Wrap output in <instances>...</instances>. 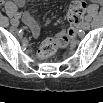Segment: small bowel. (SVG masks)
<instances>
[{
	"instance_id": "small-bowel-1",
	"label": "small bowel",
	"mask_w": 103,
	"mask_h": 103,
	"mask_svg": "<svg viewBox=\"0 0 103 103\" xmlns=\"http://www.w3.org/2000/svg\"><path fill=\"white\" fill-rule=\"evenodd\" d=\"M15 4L19 7H23L24 1L18 0L15 2ZM22 21L28 27L32 37L34 39L39 38L41 25H40L39 21L35 19L34 15L31 11H25L22 14Z\"/></svg>"
}]
</instances>
